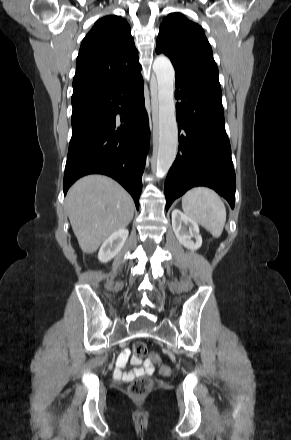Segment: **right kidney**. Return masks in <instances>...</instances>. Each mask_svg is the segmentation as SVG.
I'll return each mask as SVG.
<instances>
[{
  "label": "right kidney",
  "mask_w": 291,
  "mask_h": 440,
  "mask_svg": "<svg viewBox=\"0 0 291 440\" xmlns=\"http://www.w3.org/2000/svg\"><path fill=\"white\" fill-rule=\"evenodd\" d=\"M128 230L125 228L119 229L110 235L102 244L99 253V261L105 263L114 258L125 244L128 237Z\"/></svg>",
  "instance_id": "1"
}]
</instances>
